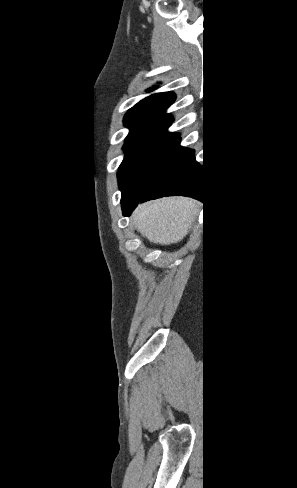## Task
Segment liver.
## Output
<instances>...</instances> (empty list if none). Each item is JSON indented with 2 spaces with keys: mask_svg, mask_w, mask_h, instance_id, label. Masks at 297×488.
<instances>
[{
  "mask_svg": "<svg viewBox=\"0 0 297 488\" xmlns=\"http://www.w3.org/2000/svg\"><path fill=\"white\" fill-rule=\"evenodd\" d=\"M200 210L193 199L166 197L138 206L132 222L150 242L168 245L186 236Z\"/></svg>",
  "mask_w": 297,
  "mask_h": 488,
  "instance_id": "6515ba94",
  "label": "liver"
}]
</instances>
